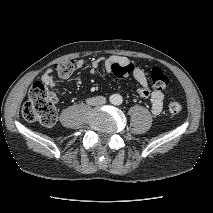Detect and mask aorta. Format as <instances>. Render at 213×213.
<instances>
[{
    "label": "aorta",
    "instance_id": "762f6f07",
    "mask_svg": "<svg viewBox=\"0 0 213 213\" xmlns=\"http://www.w3.org/2000/svg\"><path fill=\"white\" fill-rule=\"evenodd\" d=\"M110 102L113 105H120L123 102V98L120 94H113L110 96Z\"/></svg>",
    "mask_w": 213,
    "mask_h": 213
}]
</instances>
